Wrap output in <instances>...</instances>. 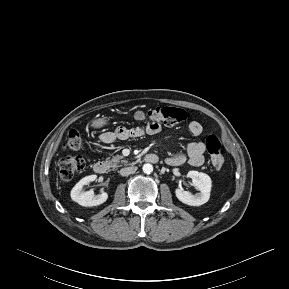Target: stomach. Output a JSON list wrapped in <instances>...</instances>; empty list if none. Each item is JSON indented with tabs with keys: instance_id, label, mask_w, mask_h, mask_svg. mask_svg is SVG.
<instances>
[{
	"instance_id": "1",
	"label": "stomach",
	"mask_w": 289,
	"mask_h": 289,
	"mask_svg": "<svg viewBox=\"0 0 289 289\" xmlns=\"http://www.w3.org/2000/svg\"><path fill=\"white\" fill-rule=\"evenodd\" d=\"M108 120L104 117L96 118L92 121V127L94 128H102L108 124Z\"/></svg>"
}]
</instances>
